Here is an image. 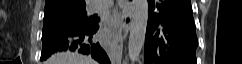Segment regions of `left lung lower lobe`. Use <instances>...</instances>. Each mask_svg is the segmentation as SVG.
<instances>
[{"instance_id":"1","label":"left lung lower lobe","mask_w":242,"mask_h":64,"mask_svg":"<svg viewBox=\"0 0 242 64\" xmlns=\"http://www.w3.org/2000/svg\"><path fill=\"white\" fill-rule=\"evenodd\" d=\"M148 1L144 64H196L198 39L191 1Z\"/></svg>"}]
</instances>
